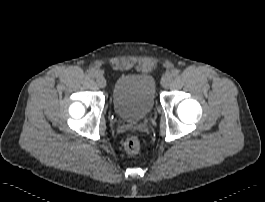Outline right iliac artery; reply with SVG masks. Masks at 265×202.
Returning a JSON list of instances; mask_svg holds the SVG:
<instances>
[{"label": "right iliac artery", "mask_w": 265, "mask_h": 202, "mask_svg": "<svg viewBox=\"0 0 265 202\" xmlns=\"http://www.w3.org/2000/svg\"><path fill=\"white\" fill-rule=\"evenodd\" d=\"M96 73L93 70H88L87 71V76L88 77H95Z\"/></svg>", "instance_id": "82829eb1"}]
</instances>
